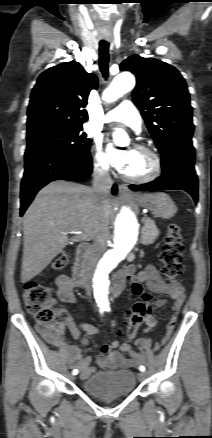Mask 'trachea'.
I'll return each mask as SVG.
<instances>
[{
  "instance_id": "trachea-1",
  "label": "trachea",
  "mask_w": 212,
  "mask_h": 438,
  "mask_svg": "<svg viewBox=\"0 0 212 438\" xmlns=\"http://www.w3.org/2000/svg\"><path fill=\"white\" fill-rule=\"evenodd\" d=\"M108 63H109V44L101 42L99 44V67L105 79L108 78Z\"/></svg>"
}]
</instances>
